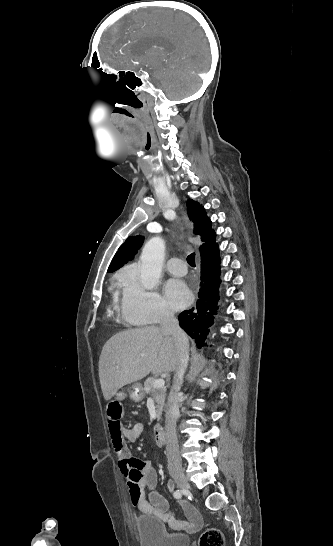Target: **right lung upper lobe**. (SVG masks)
Here are the masks:
<instances>
[{"label":"right lung upper lobe","instance_id":"right-lung-upper-lobe-1","mask_svg":"<svg viewBox=\"0 0 333 546\" xmlns=\"http://www.w3.org/2000/svg\"><path fill=\"white\" fill-rule=\"evenodd\" d=\"M187 211L189 218L194 223V233L200 235L204 242L200 247V254L201 256L207 255L217 245L215 243L216 234L214 230L211 229V221L206 216L203 207L199 206V203H196L193 200H188ZM143 240L144 238L140 235L127 238L125 243L120 246L113 257L108 272H113L122 267L129 260H132L142 246Z\"/></svg>","mask_w":333,"mask_h":546}]
</instances>
